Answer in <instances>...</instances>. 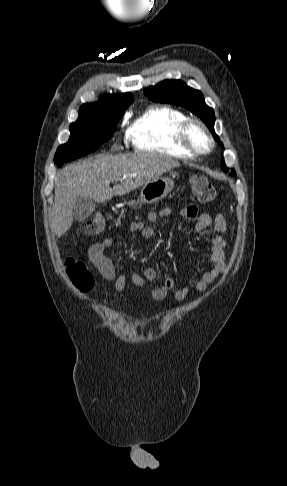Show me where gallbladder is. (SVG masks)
I'll return each instance as SVG.
<instances>
[{
	"mask_svg": "<svg viewBox=\"0 0 287 486\" xmlns=\"http://www.w3.org/2000/svg\"><path fill=\"white\" fill-rule=\"evenodd\" d=\"M96 203L89 197H78L73 204V217L76 221H83L93 214Z\"/></svg>",
	"mask_w": 287,
	"mask_h": 486,
	"instance_id": "bac80fb5",
	"label": "gallbladder"
}]
</instances>
